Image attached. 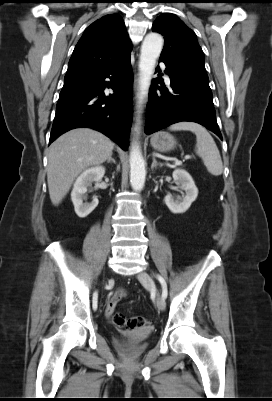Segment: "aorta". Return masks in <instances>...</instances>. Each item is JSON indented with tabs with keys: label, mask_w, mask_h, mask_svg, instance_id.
<instances>
[{
	"label": "aorta",
	"mask_w": 272,
	"mask_h": 401,
	"mask_svg": "<svg viewBox=\"0 0 272 401\" xmlns=\"http://www.w3.org/2000/svg\"><path fill=\"white\" fill-rule=\"evenodd\" d=\"M163 38L158 33H149L145 36L139 60V90L138 99L141 104L148 96L152 74L157 58L163 48ZM130 183L135 191H141L145 184L146 170L144 159L137 142H134L130 151Z\"/></svg>",
	"instance_id": "aorta-1"
}]
</instances>
